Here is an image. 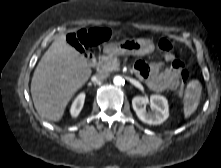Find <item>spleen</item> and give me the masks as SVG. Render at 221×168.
I'll list each match as a JSON object with an SVG mask.
<instances>
[{"instance_id":"spleen-1","label":"spleen","mask_w":221,"mask_h":168,"mask_svg":"<svg viewBox=\"0 0 221 168\" xmlns=\"http://www.w3.org/2000/svg\"><path fill=\"white\" fill-rule=\"evenodd\" d=\"M202 86L198 80H192L187 86L184 99V117H190L198 107Z\"/></svg>"}]
</instances>
